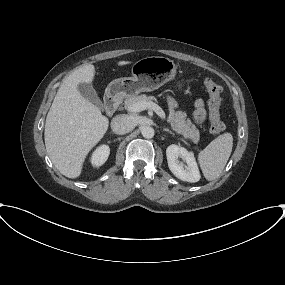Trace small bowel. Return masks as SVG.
I'll list each match as a JSON object with an SVG mask.
<instances>
[{"label":"small bowel","mask_w":285,"mask_h":285,"mask_svg":"<svg viewBox=\"0 0 285 285\" xmlns=\"http://www.w3.org/2000/svg\"><path fill=\"white\" fill-rule=\"evenodd\" d=\"M168 104L171 108L176 107V102L173 98L168 97ZM205 109L204 102L201 99L196 100L195 102V112H194V120L196 123L200 124L205 120Z\"/></svg>","instance_id":"c3829d8e"}]
</instances>
